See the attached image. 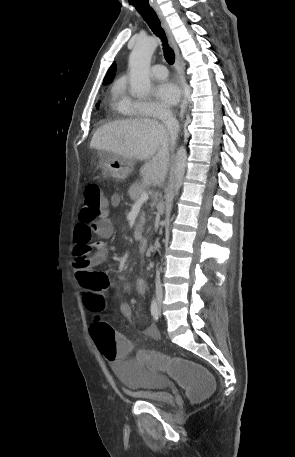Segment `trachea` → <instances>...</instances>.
Instances as JSON below:
<instances>
[{"mask_svg": "<svg viewBox=\"0 0 295 457\" xmlns=\"http://www.w3.org/2000/svg\"><path fill=\"white\" fill-rule=\"evenodd\" d=\"M138 12L142 15L144 21L148 24L152 32L161 39L163 45L164 57L167 63L172 65L175 61V54L168 45L167 38L156 12L149 6L136 5Z\"/></svg>", "mask_w": 295, "mask_h": 457, "instance_id": "obj_1", "label": "trachea"}]
</instances>
